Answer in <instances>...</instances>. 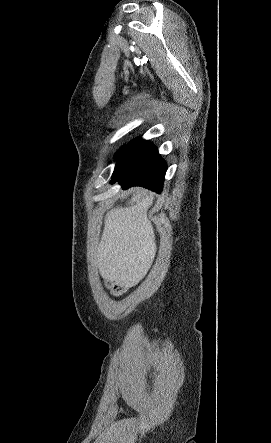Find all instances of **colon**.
<instances>
[{
	"label": "colon",
	"instance_id": "colon-1",
	"mask_svg": "<svg viewBox=\"0 0 271 443\" xmlns=\"http://www.w3.org/2000/svg\"><path fill=\"white\" fill-rule=\"evenodd\" d=\"M107 287L114 295H122L127 290V284L122 281H112L107 283Z\"/></svg>",
	"mask_w": 271,
	"mask_h": 443
}]
</instances>
